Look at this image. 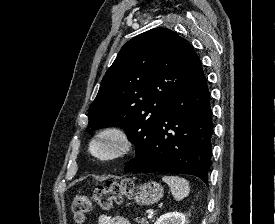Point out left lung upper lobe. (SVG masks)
<instances>
[{
  "label": "left lung upper lobe",
  "instance_id": "left-lung-upper-lobe-1",
  "mask_svg": "<svg viewBox=\"0 0 275 224\" xmlns=\"http://www.w3.org/2000/svg\"><path fill=\"white\" fill-rule=\"evenodd\" d=\"M202 67L190 43L155 28L129 40L104 75L89 107L92 129L119 126L143 149L150 132L190 75Z\"/></svg>",
  "mask_w": 275,
  "mask_h": 224
}]
</instances>
